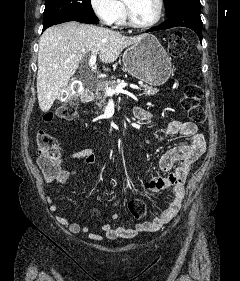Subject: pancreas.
<instances>
[{
	"mask_svg": "<svg viewBox=\"0 0 240 281\" xmlns=\"http://www.w3.org/2000/svg\"><path fill=\"white\" fill-rule=\"evenodd\" d=\"M117 85L118 83L114 80L109 81L105 86L101 84L97 85L95 98L98 100V102H96V105L99 108L104 107V105L107 103L108 95L106 94V86H110V88L114 89ZM141 87L143 88L142 94H144L145 96L155 95L159 92L157 88H153L148 85H142Z\"/></svg>",
	"mask_w": 240,
	"mask_h": 281,
	"instance_id": "obj_1",
	"label": "pancreas"
}]
</instances>
